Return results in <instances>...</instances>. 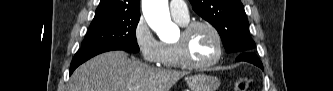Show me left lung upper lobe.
Masks as SVG:
<instances>
[{"label":"left lung upper lobe","instance_id":"5c2ea615","mask_svg":"<svg viewBox=\"0 0 333 91\" xmlns=\"http://www.w3.org/2000/svg\"><path fill=\"white\" fill-rule=\"evenodd\" d=\"M193 10L219 32L226 52L253 51L255 43L240 0H190Z\"/></svg>","mask_w":333,"mask_h":91}]
</instances>
